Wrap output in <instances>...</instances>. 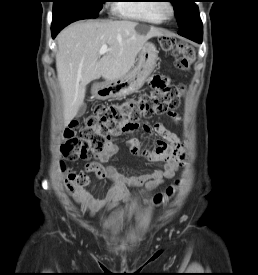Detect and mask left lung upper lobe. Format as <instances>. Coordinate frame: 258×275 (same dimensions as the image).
I'll use <instances>...</instances> for the list:
<instances>
[{"label": "left lung upper lobe", "instance_id": "1", "mask_svg": "<svg viewBox=\"0 0 258 275\" xmlns=\"http://www.w3.org/2000/svg\"><path fill=\"white\" fill-rule=\"evenodd\" d=\"M170 2L173 4L180 29L193 21L198 10L194 0H170Z\"/></svg>", "mask_w": 258, "mask_h": 275}]
</instances>
